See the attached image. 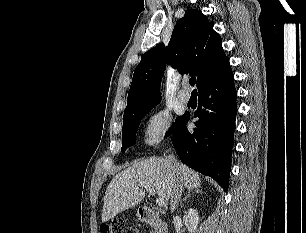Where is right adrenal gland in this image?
<instances>
[{"instance_id": "obj_1", "label": "right adrenal gland", "mask_w": 306, "mask_h": 233, "mask_svg": "<svg viewBox=\"0 0 306 233\" xmlns=\"http://www.w3.org/2000/svg\"><path fill=\"white\" fill-rule=\"evenodd\" d=\"M197 193H202V190H200L199 188H189L188 189V194H187V196H185L182 200H181V202H180V205H181V207H183V203L188 199V198H190L193 194H197Z\"/></svg>"}]
</instances>
